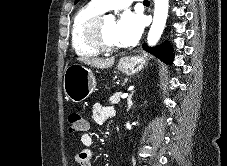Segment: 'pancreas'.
I'll return each instance as SVG.
<instances>
[{
	"instance_id": "pancreas-1",
	"label": "pancreas",
	"mask_w": 227,
	"mask_h": 166,
	"mask_svg": "<svg viewBox=\"0 0 227 166\" xmlns=\"http://www.w3.org/2000/svg\"><path fill=\"white\" fill-rule=\"evenodd\" d=\"M121 93H115L113 96L110 97L109 102L110 104H118L120 101Z\"/></svg>"
}]
</instances>
